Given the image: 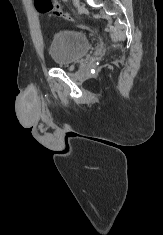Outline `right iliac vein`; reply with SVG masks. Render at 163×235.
Wrapping results in <instances>:
<instances>
[{"mask_svg":"<svg viewBox=\"0 0 163 235\" xmlns=\"http://www.w3.org/2000/svg\"><path fill=\"white\" fill-rule=\"evenodd\" d=\"M74 4L79 7L80 6V0H73Z\"/></svg>","mask_w":163,"mask_h":235,"instance_id":"right-iliac-vein-1","label":"right iliac vein"}]
</instances>
